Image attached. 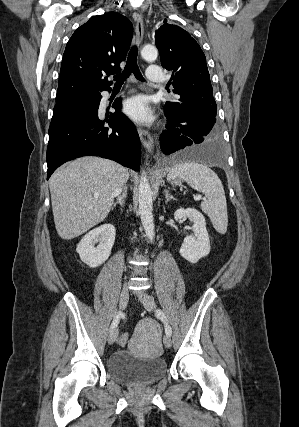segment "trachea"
<instances>
[{
	"mask_svg": "<svg viewBox=\"0 0 299 427\" xmlns=\"http://www.w3.org/2000/svg\"><path fill=\"white\" fill-rule=\"evenodd\" d=\"M137 55L138 49L136 46H133L129 52L127 63L123 72L114 76L116 84L124 83V81L131 75V73H133L138 80L145 81L137 65Z\"/></svg>",
	"mask_w": 299,
	"mask_h": 427,
	"instance_id": "3493384b",
	"label": "trachea"
}]
</instances>
